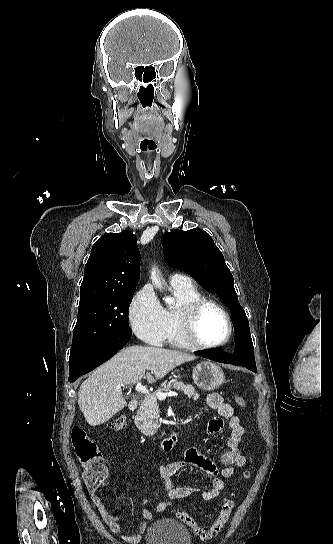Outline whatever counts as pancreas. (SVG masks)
Segmentation results:
<instances>
[{
	"label": "pancreas",
	"instance_id": "cf45deb5",
	"mask_svg": "<svg viewBox=\"0 0 333 544\" xmlns=\"http://www.w3.org/2000/svg\"><path fill=\"white\" fill-rule=\"evenodd\" d=\"M171 388L183 391L190 399H199V394L195 392L194 387L190 384L172 381L163 382L156 393L147 395L144 400H142L137 415L135 416V425L144 435H153L158 428L157 421H154V419L158 417L157 393L168 391Z\"/></svg>",
	"mask_w": 333,
	"mask_h": 544
}]
</instances>
